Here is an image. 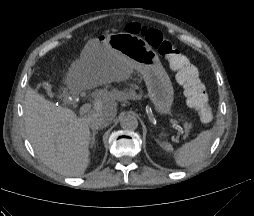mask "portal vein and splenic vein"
<instances>
[{
	"mask_svg": "<svg viewBox=\"0 0 254 216\" xmlns=\"http://www.w3.org/2000/svg\"><path fill=\"white\" fill-rule=\"evenodd\" d=\"M91 110V104H84L80 110H79V115L83 116L85 115L87 112H89ZM169 122L178 130V131H182V127L180 125V123L175 120V119H169Z\"/></svg>",
	"mask_w": 254,
	"mask_h": 216,
	"instance_id": "obj_1",
	"label": "portal vein and splenic vein"
}]
</instances>
